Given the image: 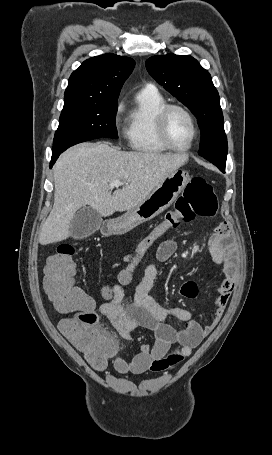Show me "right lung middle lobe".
I'll list each match as a JSON object with an SVG mask.
<instances>
[{
	"label": "right lung middle lobe",
	"instance_id": "right-lung-middle-lobe-1",
	"mask_svg": "<svg viewBox=\"0 0 272 455\" xmlns=\"http://www.w3.org/2000/svg\"><path fill=\"white\" fill-rule=\"evenodd\" d=\"M118 102L64 104L55 133L53 152L97 138H118L115 118Z\"/></svg>",
	"mask_w": 272,
	"mask_h": 455
}]
</instances>
